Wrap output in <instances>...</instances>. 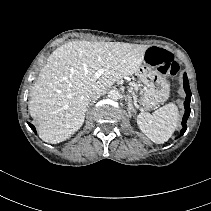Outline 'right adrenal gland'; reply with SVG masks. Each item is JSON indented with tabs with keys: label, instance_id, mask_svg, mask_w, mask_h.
Returning a JSON list of instances; mask_svg holds the SVG:
<instances>
[{
	"label": "right adrenal gland",
	"instance_id": "2a0ac1e0",
	"mask_svg": "<svg viewBox=\"0 0 211 211\" xmlns=\"http://www.w3.org/2000/svg\"><path fill=\"white\" fill-rule=\"evenodd\" d=\"M95 101L93 100L92 102L89 103V106L93 105Z\"/></svg>",
	"mask_w": 211,
	"mask_h": 211
}]
</instances>
